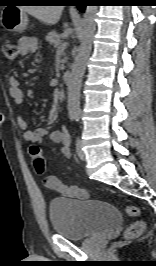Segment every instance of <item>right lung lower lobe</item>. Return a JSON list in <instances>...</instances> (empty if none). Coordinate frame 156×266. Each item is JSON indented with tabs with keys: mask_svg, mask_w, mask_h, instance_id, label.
<instances>
[{
	"mask_svg": "<svg viewBox=\"0 0 156 266\" xmlns=\"http://www.w3.org/2000/svg\"><path fill=\"white\" fill-rule=\"evenodd\" d=\"M89 1L87 0H76L75 5L78 7V9L81 12H84L86 5L88 4Z\"/></svg>",
	"mask_w": 156,
	"mask_h": 266,
	"instance_id": "1",
	"label": "right lung lower lobe"
}]
</instances>
